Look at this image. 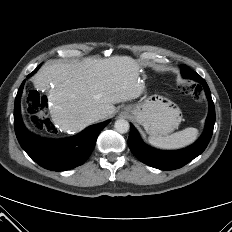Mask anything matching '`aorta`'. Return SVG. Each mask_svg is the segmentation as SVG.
<instances>
[{"label":"aorta","instance_id":"obj_1","mask_svg":"<svg viewBox=\"0 0 232 232\" xmlns=\"http://www.w3.org/2000/svg\"><path fill=\"white\" fill-rule=\"evenodd\" d=\"M114 128L119 133H127L129 130V123L125 119H118L115 121Z\"/></svg>","mask_w":232,"mask_h":232}]
</instances>
